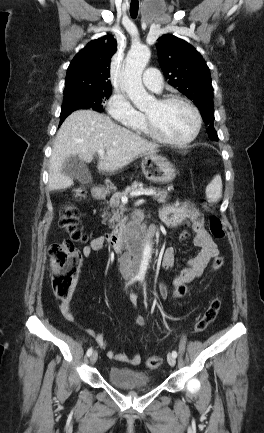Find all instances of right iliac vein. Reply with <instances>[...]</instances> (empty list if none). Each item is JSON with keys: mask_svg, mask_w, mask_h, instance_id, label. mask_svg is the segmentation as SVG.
<instances>
[{"mask_svg": "<svg viewBox=\"0 0 264 433\" xmlns=\"http://www.w3.org/2000/svg\"><path fill=\"white\" fill-rule=\"evenodd\" d=\"M97 358H98V353H97V351H94L90 356V363L92 365L95 364L97 361Z\"/></svg>", "mask_w": 264, "mask_h": 433, "instance_id": "63e3f726", "label": "right iliac vein"}]
</instances>
